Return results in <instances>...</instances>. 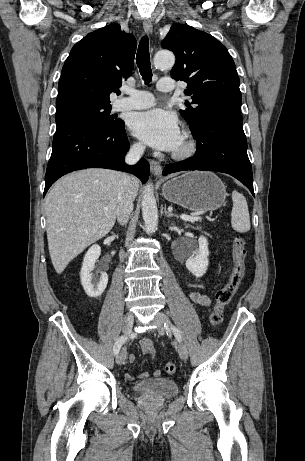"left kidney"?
Returning a JSON list of instances; mask_svg holds the SVG:
<instances>
[{
  "label": "left kidney",
  "mask_w": 305,
  "mask_h": 461,
  "mask_svg": "<svg viewBox=\"0 0 305 461\" xmlns=\"http://www.w3.org/2000/svg\"><path fill=\"white\" fill-rule=\"evenodd\" d=\"M208 241L204 236L198 239V248H193L186 260L187 269L197 278L202 277L208 268Z\"/></svg>",
  "instance_id": "1"
}]
</instances>
